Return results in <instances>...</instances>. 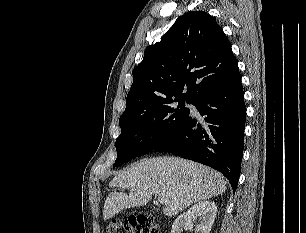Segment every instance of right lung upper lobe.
<instances>
[{
  "instance_id": "obj_1",
  "label": "right lung upper lobe",
  "mask_w": 306,
  "mask_h": 233,
  "mask_svg": "<svg viewBox=\"0 0 306 233\" xmlns=\"http://www.w3.org/2000/svg\"><path fill=\"white\" fill-rule=\"evenodd\" d=\"M238 73L229 40L215 18L191 11L145 50L133 69L123 115L166 99L195 103Z\"/></svg>"
}]
</instances>
